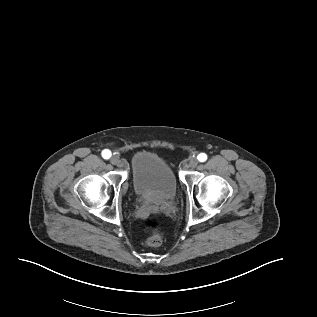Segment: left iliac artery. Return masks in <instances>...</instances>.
Segmentation results:
<instances>
[{"label": "left iliac artery", "mask_w": 317, "mask_h": 317, "mask_svg": "<svg viewBox=\"0 0 317 317\" xmlns=\"http://www.w3.org/2000/svg\"><path fill=\"white\" fill-rule=\"evenodd\" d=\"M197 159L200 161V162H204L207 160V155L205 153H200L198 156H197Z\"/></svg>", "instance_id": "obj_1"}]
</instances>
